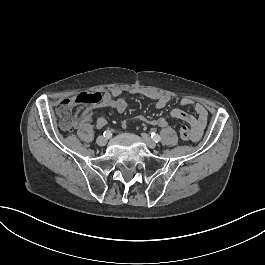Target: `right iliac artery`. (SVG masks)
I'll return each instance as SVG.
<instances>
[{"label": "right iliac artery", "mask_w": 265, "mask_h": 265, "mask_svg": "<svg viewBox=\"0 0 265 265\" xmlns=\"http://www.w3.org/2000/svg\"><path fill=\"white\" fill-rule=\"evenodd\" d=\"M103 135H104V137H106L107 139H109V138L112 136V134H111L110 131H105V132L103 133Z\"/></svg>", "instance_id": "82829eb1"}]
</instances>
